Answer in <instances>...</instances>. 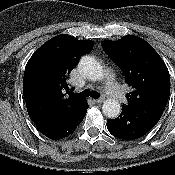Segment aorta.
Masks as SVG:
<instances>
[{"instance_id":"762f6f07","label":"aorta","mask_w":175,"mask_h":175,"mask_svg":"<svg viewBox=\"0 0 175 175\" xmlns=\"http://www.w3.org/2000/svg\"><path fill=\"white\" fill-rule=\"evenodd\" d=\"M79 69L91 81H98L104 76L102 65L91 56H85L81 59ZM102 110L107 117L115 118L121 112L120 102L117 99L109 98L103 102Z\"/></svg>"}]
</instances>
